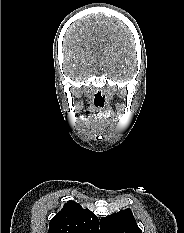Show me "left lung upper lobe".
<instances>
[{
    "mask_svg": "<svg viewBox=\"0 0 184 233\" xmlns=\"http://www.w3.org/2000/svg\"><path fill=\"white\" fill-rule=\"evenodd\" d=\"M100 233H142L131 209L121 210L100 220Z\"/></svg>",
    "mask_w": 184,
    "mask_h": 233,
    "instance_id": "left-lung-upper-lobe-1",
    "label": "left lung upper lobe"
}]
</instances>
